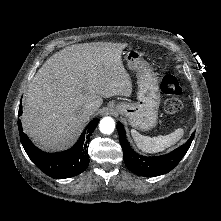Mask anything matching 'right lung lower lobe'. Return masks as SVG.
<instances>
[{
  "label": "right lung lower lobe",
  "mask_w": 221,
  "mask_h": 221,
  "mask_svg": "<svg viewBox=\"0 0 221 221\" xmlns=\"http://www.w3.org/2000/svg\"><path fill=\"white\" fill-rule=\"evenodd\" d=\"M22 114V104L19 115ZM99 119H93L78 142L69 150L59 153H46L38 149L23 132L21 121L18 119V129L21 143L34 164L46 175L52 178L64 179L82 173L89 164V137L96 128Z\"/></svg>",
  "instance_id": "1"
}]
</instances>
